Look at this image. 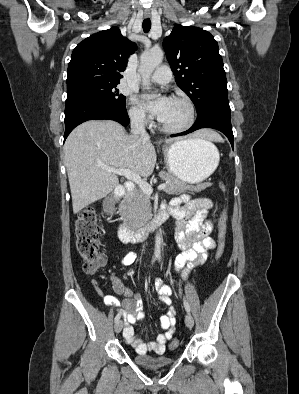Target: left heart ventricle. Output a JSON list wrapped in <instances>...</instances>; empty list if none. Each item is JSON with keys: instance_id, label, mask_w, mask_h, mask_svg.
Instances as JSON below:
<instances>
[{"instance_id": "obj_1", "label": "left heart ventricle", "mask_w": 299, "mask_h": 394, "mask_svg": "<svg viewBox=\"0 0 299 394\" xmlns=\"http://www.w3.org/2000/svg\"><path fill=\"white\" fill-rule=\"evenodd\" d=\"M160 120L168 127L183 126L189 120V109L183 102L170 99L168 107Z\"/></svg>"}]
</instances>
